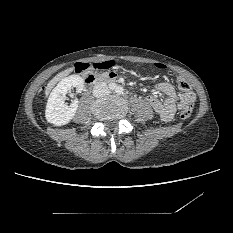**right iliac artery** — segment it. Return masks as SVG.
I'll return each instance as SVG.
<instances>
[{
	"label": "right iliac artery",
	"mask_w": 233,
	"mask_h": 233,
	"mask_svg": "<svg viewBox=\"0 0 233 233\" xmlns=\"http://www.w3.org/2000/svg\"><path fill=\"white\" fill-rule=\"evenodd\" d=\"M116 88H117V86H116L115 83H110V84H109V89H111V90H116Z\"/></svg>",
	"instance_id": "1"
}]
</instances>
